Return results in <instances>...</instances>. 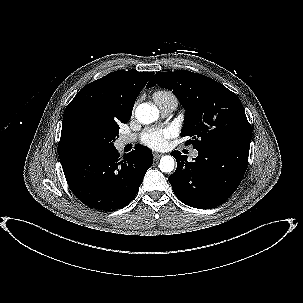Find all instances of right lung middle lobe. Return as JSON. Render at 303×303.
Wrapping results in <instances>:
<instances>
[{"instance_id":"obj_1","label":"right lung middle lobe","mask_w":303,"mask_h":303,"mask_svg":"<svg viewBox=\"0 0 303 303\" xmlns=\"http://www.w3.org/2000/svg\"><path fill=\"white\" fill-rule=\"evenodd\" d=\"M119 128L105 127L91 118L79 119L73 129V141L85 156L108 150L114 146Z\"/></svg>"}]
</instances>
